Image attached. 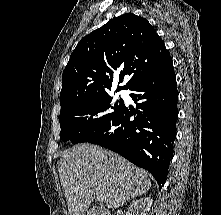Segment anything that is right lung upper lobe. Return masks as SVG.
Instances as JSON below:
<instances>
[{"instance_id": "1", "label": "right lung upper lobe", "mask_w": 221, "mask_h": 215, "mask_svg": "<svg viewBox=\"0 0 221 215\" xmlns=\"http://www.w3.org/2000/svg\"><path fill=\"white\" fill-rule=\"evenodd\" d=\"M170 58L152 25L132 13L110 20L83 37L72 52L62 74L61 108L111 90L114 73L120 70L116 91L161 67Z\"/></svg>"}]
</instances>
